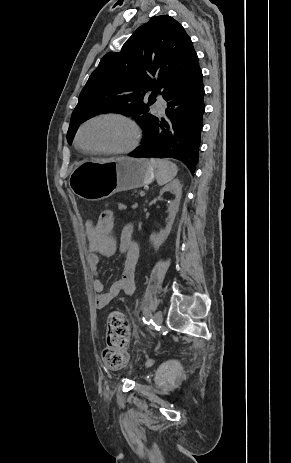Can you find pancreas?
Here are the masks:
<instances>
[{
    "instance_id": "obj_1",
    "label": "pancreas",
    "mask_w": 291,
    "mask_h": 463,
    "mask_svg": "<svg viewBox=\"0 0 291 463\" xmlns=\"http://www.w3.org/2000/svg\"><path fill=\"white\" fill-rule=\"evenodd\" d=\"M131 195H132L134 198H137V197H138V192H137V191H134V192H132Z\"/></svg>"
}]
</instances>
